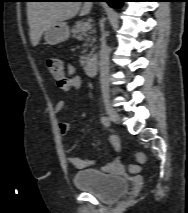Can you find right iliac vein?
Instances as JSON below:
<instances>
[{"mask_svg":"<svg viewBox=\"0 0 188 213\" xmlns=\"http://www.w3.org/2000/svg\"><path fill=\"white\" fill-rule=\"evenodd\" d=\"M105 108L109 118L115 123H120L121 118L119 114L117 113V111L113 107H111L109 104H107Z\"/></svg>","mask_w":188,"mask_h":213,"instance_id":"right-iliac-vein-1","label":"right iliac vein"}]
</instances>
